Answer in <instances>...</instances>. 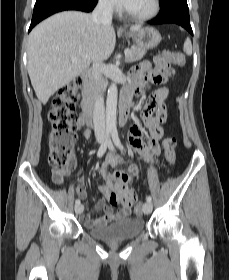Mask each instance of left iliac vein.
<instances>
[{"label":"left iliac vein","mask_w":229,"mask_h":280,"mask_svg":"<svg viewBox=\"0 0 229 280\" xmlns=\"http://www.w3.org/2000/svg\"><path fill=\"white\" fill-rule=\"evenodd\" d=\"M108 147H109L110 150H113V144L111 142L109 143ZM151 211H152V204H151V202H145L143 204V212H144V214H149V213H151Z\"/></svg>","instance_id":"4c4485c4"}]
</instances>
